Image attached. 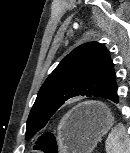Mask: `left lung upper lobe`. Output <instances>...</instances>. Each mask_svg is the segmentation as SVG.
<instances>
[{
    "label": "left lung upper lobe",
    "mask_w": 130,
    "mask_h": 153,
    "mask_svg": "<svg viewBox=\"0 0 130 153\" xmlns=\"http://www.w3.org/2000/svg\"><path fill=\"white\" fill-rule=\"evenodd\" d=\"M113 71L109 51L102 44L89 42L75 48L40 88L27 120L26 139L42 129L68 99L101 97Z\"/></svg>",
    "instance_id": "5c2ea615"
}]
</instances>
